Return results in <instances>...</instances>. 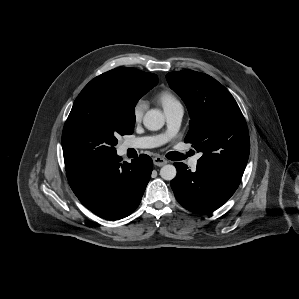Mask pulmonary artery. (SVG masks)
<instances>
[{
    "label": "pulmonary artery",
    "mask_w": 299,
    "mask_h": 299,
    "mask_svg": "<svg viewBox=\"0 0 299 299\" xmlns=\"http://www.w3.org/2000/svg\"><path fill=\"white\" fill-rule=\"evenodd\" d=\"M183 107L182 105L174 106L165 111L166 121H167V131L163 134L156 136L140 137L125 143V149H145L154 148L160 146L170 140L179 130L182 117H183ZM199 155L192 157L189 160V166L195 168L198 163Z\"/></svg>",
    "instance_id": "1"
}]
</instances>
